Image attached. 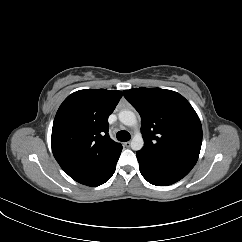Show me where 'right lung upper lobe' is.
I'll use <instances>...</instances> for the list:
<instances>
[{"instance_id":"obj_1","label":"right lung upper lobe","mask_w":242,"mask_h":242,"mask_svg":"<svg viewBox=\"0 0 242 242\" xmlns=\"http://www.w3.org/2000/svg\"><path fill=\"white\" fill-rule=\"evenodd\" d=\"M121 97V91L79 90L60 105L53 122L52 152L75 181L122 149L108 134V117Z\"/></svg>"}]
</instances>
